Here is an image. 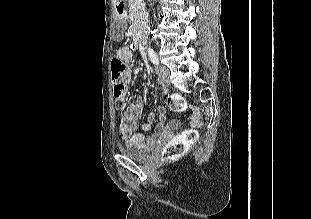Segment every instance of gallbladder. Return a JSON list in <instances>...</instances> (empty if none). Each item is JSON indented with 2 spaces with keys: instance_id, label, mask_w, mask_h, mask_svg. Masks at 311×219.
Segmentation results:
<instances>
[{
  "instance_id": "1",
  "label": "gallbladder",
  "mask_w": 311,
  "mask_h": 219,
  "mask_svg": "<svg viewBox=\"0 0 311 219\" xmlns=\"http://www.w3.org/2000/svg\"><path fill=\"white\" fill-rule=\"evenodd\" d=\"M125 28V22H123L122 20L115 21L111 28L112 39L115 41L122 40V38L124 37Z\"/></svg>"
}]
</instances>
